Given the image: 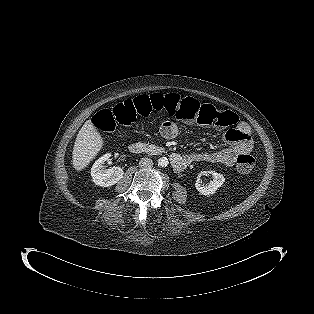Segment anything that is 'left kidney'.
Listing matches in <instances>:
<instances>
[{
	"instance_id": "left-kidney-1",
	"label": "left kidney",
	"mask_w": 314,
	"mask_h": 314,
	"mask_svg": "<svg viewBox=\"0 0 314 314\" xmlns=\"http://www.w3.org/2000/svg\"><path fill=\"white\" fill-rule=\"evenodd\" d=\"M208 173H210L213 176V181H210L209 183L206 184L202 183V181H200V177L202 175L207 174V172L203 171L199 173L195 183V187L198 190V192L205 196L216 193L217 189L221 187L225 182V177L222 174L217 173L215 171H209Z\"/></svg>"
}]
</instances>
